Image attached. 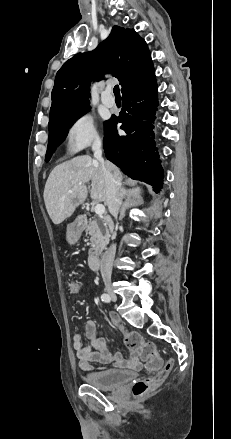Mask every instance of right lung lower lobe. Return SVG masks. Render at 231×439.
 <instances>
[{
	"label": "right lung lower lobe",
	"mask_w": 231,
	"mask_h": 439,
	"mask_svg": "<svg viewBox=\"0 0 231 439\" xmlns=\"http://www.w3.org/2000/svg\"><path fill=\"white\" fill-rule=\"evenodd\" d=\"M119 116L107 121L104 149L108 160L132 179L150 184L156 192L163 184V170L155 147L153 125L158 106L155 72L122 96ZM126 135H119L116 126Z\"/></svg>",
	"instance_id": "98d812e1"
}]
</instances>
